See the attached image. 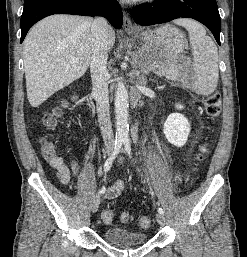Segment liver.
<instances>
[{
  "label": "liver",
  "mask_w": 247,
  "mask_h": 257,
  "mask_svg": "<svg viewBox=\"0 0 247 257\" xmlns=\"http://www.w3.org/2000/svg\"><path fill=\"white\" fill-rule=\"evenodd\" d=\"M92 22L90 18L59 14L46 17L29 31L23 55L27 98L32 107L84 75L92 55ZM114 43L115 32L109 27L108 49Z\"/></svg>",
  "instance_id": "obj_1"
}]
</instances>
